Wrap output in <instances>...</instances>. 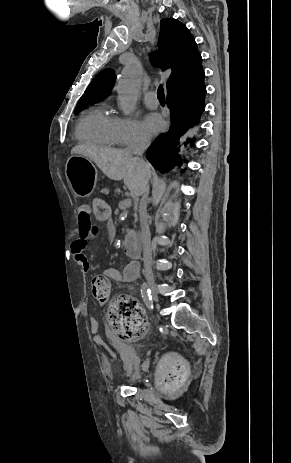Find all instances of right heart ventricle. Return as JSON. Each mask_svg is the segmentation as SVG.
<instances>
[{"label":"right heart ventricle","mask_w":291,"mask_h":463,"mask_svg":"<svg viewBox=\"0 0 291 463\" xmlns=\"http://www.w3.org/2000/svg\"><path fill=\"white\" fill-rule=\"evenodd\" d=\"M117 117L106 106L95 107L84 113L76 126L77 139L86 144L116 146L120 144Z\"/></svg>","instance_id":"right-heart-ventricle-1"}]
</instances>
